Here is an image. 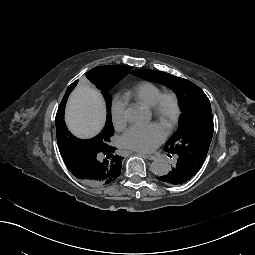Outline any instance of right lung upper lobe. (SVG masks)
Listing matches in <instances>:
<instances>
[{
    "label": "right lung upper lobe",
    "instance_id": "cb5924a9",
    "mask_svg": "<svg viewBox=\"0 0 255 255\" xmlns=\"http://www.w3.org/2000/svg\"><path fill=\"white\" fill-rule=\"evenodd\" d=\"M97 67L91 69L86 73V77L90 80L92 73ZM91 82V81H90ZM92 83V82H91ZM77 81L72 83L66 90V93L60 103L56 114V134L57 142L60 150V154L63 158L64 163L70 172L79 179V161L83 156H86L89 160L90 156L97 155L100 158V179L96 182L83 181L86 184L102 186L107 185L115 181L121 172V162L122 157L115 153V147L108 144L110 142V137L114 134V129L112 124H106L103 131L96 137L90 140H82L73 136L65 126L64 122V109L67 98L76 86ZM76 141H86L90 144V151L86 154L81 152H76L73 149V144Z\"/></svg>",
    "mask_w": 255,
    "mask_h": 255
}]
</instances>
